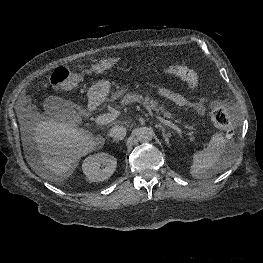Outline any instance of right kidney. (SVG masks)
<instances>
[{
	"label": "right kidney",
	"mask_w": 263,
	"mask_h": 263,
	"mask_svg": "<svg viewBox=\"0 0 263 263\" xmlns=\"http://www.w3.org/2000/svg\"><path fill=\"white\" fill-rule=\"evenodd\" d=\"M117 159L107 153H98L87 157L82 169L88 180L100 182L109 179L114 173Z\"/></svg>",
	"instance_id": "obj_1"
}]
</instances>
